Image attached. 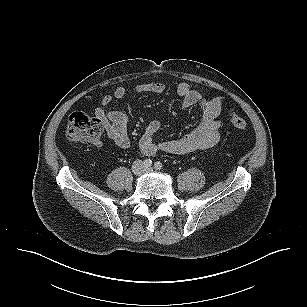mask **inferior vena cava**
<instances>
[{
    "instance_id": "602c4592",
    "label": "inferior vena cava",
    "mask_w": 307,
    "mask_h": 307,
    "mask_svg": "<svg viewBox=\"0 0 307 307\" xmlns=\"http://www.w3.org/2000/svg\"><path fill=\"white\" fill-rule=\"evenodd\" d=\"M138 163H140V160H138V161H135V163H134V164L136 165V164H138Z\"/></svg>"
}]
</instances>
